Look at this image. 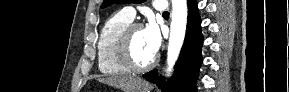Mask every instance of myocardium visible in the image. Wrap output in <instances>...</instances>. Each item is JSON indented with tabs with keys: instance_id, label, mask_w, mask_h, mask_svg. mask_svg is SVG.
Returning a JSON list of instances; mask_svg holds the SVG:
<instances>
[{
	"instance_id": "f54148a6",
	"label": "myocardium",
	"mask_w": 289,
	"mask_h": 92,
	"mask_svg": "<svg viewBox=\"0 0 289 92\" xmlns=\"http://www.w3.org/2000/svg\"><path fill=\"white\" fill-rule=\"evenodd\" d=\"M143 25L137 22H131L127 25L120 35L117 38L116 45H115V53L118 61L129 71L131 72H144L153 68L157 63V56L147 64L139 65L133 59L131 53V42L134 33L142 29Z\"/></svg>"
}]
</instances>
